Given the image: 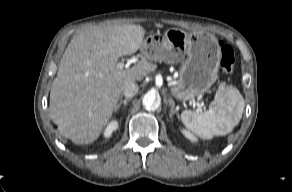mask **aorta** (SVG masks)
<instances>
[{"label":"aorta","instance_id":"1","mask_svg":"<svg viewBox=\"0 0 292 192\" xmlns=\"http://www.w3.org/2000/svg\"><path fill=\"white\" fill-rule=\"evenodd\" d=\"M142 103L147 110H156L160 106L159 98L152 91L147 92L143 96Z\"/></svg>","mask_w":292,"mask_h":192}]
</instances>
